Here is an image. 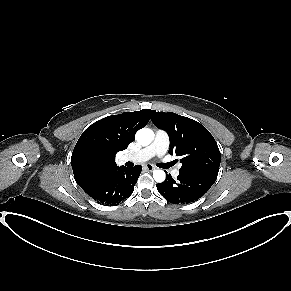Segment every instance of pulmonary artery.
<instances>
[{
    "label": "pulmonary artery",
    "instance_id": "1",
    "mask_svg": "<svg viewBox=\"0 0 291 291\" xmlns=\"http://www.w3.org/2000/svg\"><path fill=\"white\" fill-rule=\"evenodd\" d=\"M169 147V136L163 130L155 132L152 143L141 150L122 157V161L145 162L154 156L162 157L165 155ZM180 174V165L172 170V175L177 177Z\"/></svg>",
    "mask_w": 291,
    "mask_h": 291
}]
</instances>
